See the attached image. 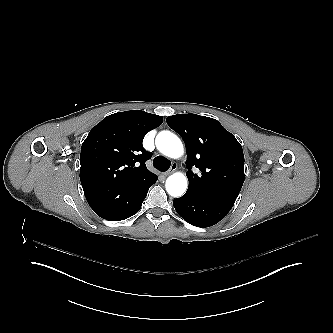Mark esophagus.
<instances>
[{"mask_svg":"<svg viewBox=\"0 0 333 333\" xmlns=\"http://www.w3.org/2000/svg\"><path fill=\"white\" fill-rule=\"evenodd\" d=\"M177 163H173L172 165H171V168L167 171V172H165L164 173V176H168V175H170L171 173H173L176 169H177Z\"/></svg>","mask_w":333,"mask_h":333,"instance_id":"1","label":"esophagus"}]
</instances>
